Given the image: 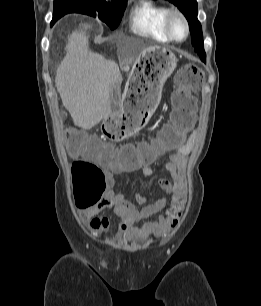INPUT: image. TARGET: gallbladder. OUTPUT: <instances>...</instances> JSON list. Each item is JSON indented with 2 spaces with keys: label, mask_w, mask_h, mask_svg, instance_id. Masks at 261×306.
Listing matches in <instances>:
<instances>
[{
  "label": "gallbladder",
  "mask_w": 261,
  "mask_h": 306,
  "mask_svg": "<svg viewBox=\"0 0 261 306\" xmlns=\"http://www.w3.org/2000/svg\"><path fill=\"white\" fill-rule=\"evenodd\" d=\"M121 100V93L117 86H113L110 89V101L112 105H117Z\"/></svg>",
  "instance_id": "1"
}]
</instances>
